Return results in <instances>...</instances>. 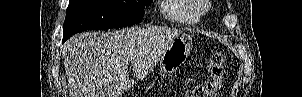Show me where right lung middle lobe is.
Returning a JSON list of instances; mask_svg holds the SVG:
<instances>
[{"label":"right lung middle lobe","instance_id":"1","mask_svg":"<svg viewBox=\"0 0 302 97\" xmlns=\"http://www.w3.org/2000/svg\"><path fill=\"white\" fill-rule=\"evenodd\" d=\"M152 0H70L63 25V41L92 29L122 28L138 24Z\"/></svg>","mask_w":302,"mask_h":97}]
</instances>
